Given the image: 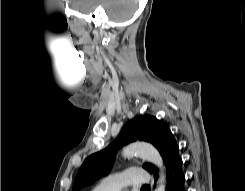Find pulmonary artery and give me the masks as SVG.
Listing matches in <instances>:
<instances>
[{
    "label": "pulmonary artery",
    "instance_id": "1",
    "mask_svg": "<svg viewBox=\"0 0 245 191\" xmlns=\"http://www.w3.org/2000/svg\"><path fill=\"white\" fill-rule=\"evenodd\" d=\"M150 182V174L141 168L131 167L104 179L92 191H121L129 186H141Z\"/></svg>",
    "mask_w": 245,
    "mask_h": 191
}]
</instances>
